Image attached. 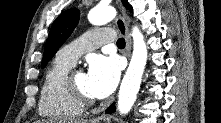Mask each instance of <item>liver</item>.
I'll return each mask as SVG.
<instances>
[{"label":"liver","mask_w":221,"mask_h":123,"mask_svg":"<svg viewBox=\"0 0 221 123\" xmlns=\"http://www.w3.org/2000/svg\"><path fill=\"white\" fill-rule=\"evenodd\" d=\"M71 123H87L86 121L84 120H77V119H74V120H70ZM36 123H47L46 121H37Z\"/></svg>","instance_id":"1"}]
</instances>
